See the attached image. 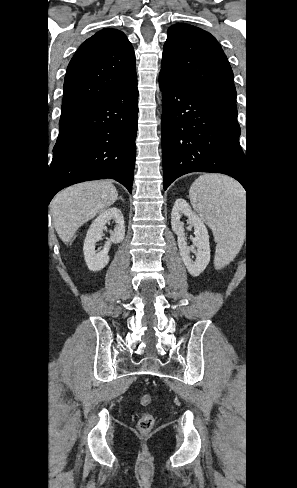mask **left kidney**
I'll use <instances>...</instances> for the list:
<instances>
[{
    "label": "left kidney",
    "instance_id": "5707ae66",
    "mask_svg": "<svg viewBox=\"0 0 297 488\" xmlns=\"http://www.w3.org/2000/svg\"><path fill=\"white\" fill-rule=\"evenodd\" d=\"M182 215L187 216L188 223L194 227L195 237L193 238L194 247H189L185 239L183 224L180 222ZM171 225L173 232L177 235L180 256L193 276H198L203 272L210 261L209 235L206 226L201 218L190 208L186 200L179 198L175 201L171 213ZM190 252L196 255L192 261Z\"/></svg>",
    "mask_w": 297,
    "mask_h": 488
}]
</instances>
